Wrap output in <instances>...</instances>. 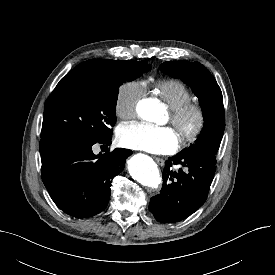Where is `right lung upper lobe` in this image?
I'll list each match as a JSON object with an SVG mask.
<instances>
[{"instance_id": "obj_1", "label": "right lung upper lobe", "mask_w": 275, "mask_h": 275, "mask_svg": "<svg viewBox=\"0 0 275 275\" xmlns=\"http://www.w3.org/2000/svg\"><path fill=\"white\" fill-rule=\"evenodd\" d=\"M117 60H103V59H91L77 65L71 70L65 77L77 76L86 73H109L114 66L118 63ZM42 150L40 153L44 152Z\"/></svg>"}]
</instances>
